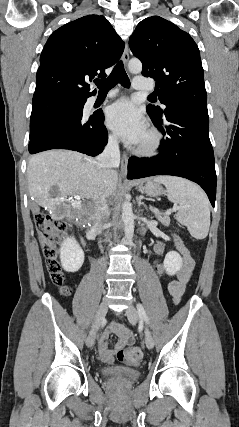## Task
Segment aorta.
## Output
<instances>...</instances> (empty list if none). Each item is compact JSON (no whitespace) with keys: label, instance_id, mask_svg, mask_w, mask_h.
Returning <instances> with one entry per match:
<instances>
[{"label":"aorta","instance_id":"1","mask_svg":"<svg viewBox=\"0 0 239 427\" xmlns=\"http://www.w3.org/2000/svg\"><path fill=\"white\" fill-rule=\"evenodd\" d=\"M128 69L131 73L138 74L142 71V63L138 59H131L128 63ZM122 220L126 240L131 243L134 235V214L132 205L128 201L122 204Z\"/></svg>","mask_w":239,"mask_h":427}]
</instances>
